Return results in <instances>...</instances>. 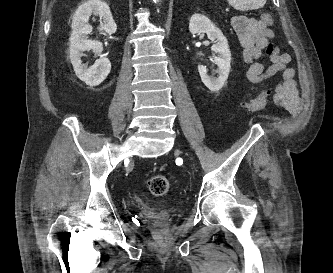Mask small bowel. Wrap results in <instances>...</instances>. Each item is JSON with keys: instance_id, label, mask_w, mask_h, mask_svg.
<instances>
[{"instance_id": "small-bowel-1", "label": "small bowel", "mask_w": 333, "mask_h": 273, "mask_svg": "<svg viewBox=\"0 0 333 273\" xmlns=\"http://www.w3.org/2000/svg\"><path fill=\"white\" fill-rule=\"evenodd\" d=\"M232 26L240 46L243 49V60L247 66L245 76L251 83H261L277 73H282L281 81L274 87L272 98L280 106L291 109L298 102L295 71L289 67L291 58L280 53L277 48L268 61H258L269 40L274 37L273 31L262 20L238 15L233 18Z\"/></svg>"}]
</instances>
